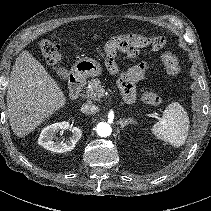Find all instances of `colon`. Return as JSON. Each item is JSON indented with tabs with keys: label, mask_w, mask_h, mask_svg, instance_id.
<instances>
[{
	"label": "colon",
	"mask_w": 211,
	"mask_h": 211,
	"mask_svg": "<svg viewBox=\"0 0 211 211\" xmlns=\"http://www.w3.org/2000/svg\"><path fill=\"white\" fill-rule=\"evenodd\" d=\"M146 45H150L154 50H162L166 47L167 41L161 36L148 37L140 33L130 35L122 33L113 37L111 44L99 48L97 52L108 69H111L116 66L115 58L118 52L128 56H136L141 53ZM40 51L50 66L56 67L60 62V47L55 42L50 40L41 41ZM161 59L168 75L174 76L179 73L178 63L172 55L162 53ZM143 100L148 105L157 106L162 102V97L157 91H149L144 94Z\"/></svg>",
	"instance_id": "colon-1"
}]
</instances>
